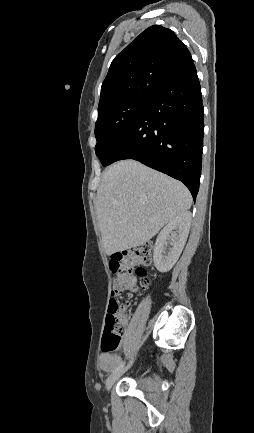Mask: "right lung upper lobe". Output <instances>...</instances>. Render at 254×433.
I'll use <instances>...</instances> for the list:
<instances>
[{
	"label": "right lung upper lobe",
	"instance_id": "1",
	"mask_svg": "<svg viewBox=\"0 0 254 433\" xmlns=\"http://www.w3.org/2000/svg\"><path fill=\"white\" fill-rule=\"evenodd\" d=\"M192 62L189 50L172 30L160 25L147 28L112 61L98 110L127 99H151Z\"/></svg>",
	"mask_w": 254,
	"mask_h": 433
}]
</instances>
